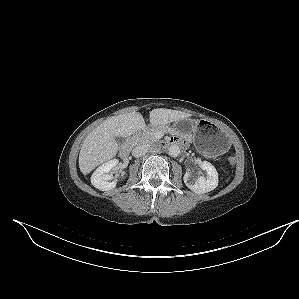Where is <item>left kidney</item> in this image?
<instances>
[{"instance_id": "1", "label": "left kidney", "mask_w": 299, "mask_h": 299, "mask_svg": "<svg viewBox=\"0 0 299 299\" xmlns=\"http://www.w3.org/2000/svg\"><path fill=\"white\" fill-rule=\"evenodd\" d=\"M200 167L206 170L207 177L196 176L193 172H186L183 180L186 186L197 194H204L214 190L218 186V173L215 167L207 162L200 163Z\"/></svg>"}]
</instances>
